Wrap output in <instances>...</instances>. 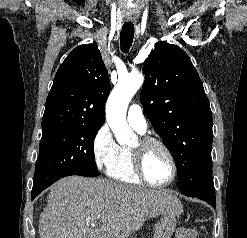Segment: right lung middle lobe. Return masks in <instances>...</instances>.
<instances>
[{
	"instance_id": "obj_1",
	"label": "right lung middle lobe",
	"mask_w": 247,
	"mask_h": 238,
	"mask_svg": "<svg viewBox=\"0 0 247 238\" xmlns=\"http://www.w3.org/2000/svg\"><path fill=\"white\" fill-rule=\"evenodd\" d=\"M102 124H73L43 130L32 194L69 175L97 177L94 139Z\"/></svg>"
}]
</instances>
